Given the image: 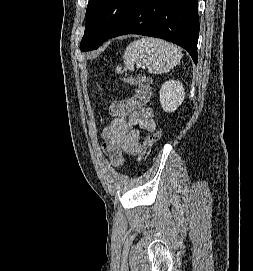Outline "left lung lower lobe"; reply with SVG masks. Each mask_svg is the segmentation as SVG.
<instances>
[{
  "label": "left lung lower lobe",
  "instance_id": "0a47b994",
  "mask_svg": "<svg viewBox=\"0 0 253 271\" xmlns=\"http://www.w3.org/2000/svg\"><path fill=\"white\" fill-rule=\"evenodd\" d=\"M197 4L198 0H133L130 10L108 38L125 34L162 38L183 47L196 64Z\"/></svg>",
  "mask_w": 253,
  "mask_h": 271
}]
</instances>
